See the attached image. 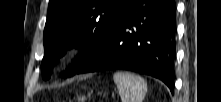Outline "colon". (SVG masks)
<instances>
[{
  "instance_id": "obj_1",
  "label": "colon",
  "mask_w": 221,
  "mask_h": 102,
  "mask_svg": "<svg viewBox=\"0 0 221 102\" xmlns=\"http://www.w3.org/2000/svg\"><path fill=\"white\" fill-rule=\"evenodd\" d=\"M79 101H83V98H80Z\"/></svg>"
}]
</instances>
